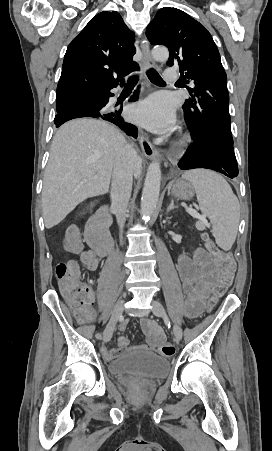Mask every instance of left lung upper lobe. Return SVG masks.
<instances>
[{
    "label": "left lung upper lobe",
    "instance_id": "obj_1",
    "mask_svg": "<svg viewBox=\"0 0 272 451\" xmlns=\"http://www.w3.org/2000/svg\"><path fill=\"white\" fill-rule=\"evenodd\" d=\"M146 36L152 45L168 47L167 65L179 66L183 78L195 85L189 89L192 98L183 105L192 139L216 134L233 143L227 76L208 30L185 12L164 7L148 25Z\"/></svg>",
    "mask_w": 272,
    "mask_h": 451
}]
</instances>
